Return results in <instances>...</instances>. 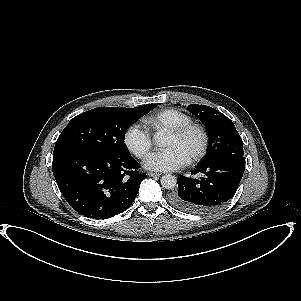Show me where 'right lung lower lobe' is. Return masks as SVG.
<instances>
[{
  "mask_svg": "<svg viewBox=\"0 0 301 301\" xmlns=\"http://www.w3.org/2000/svg\"><path fill=\"white\" fill-rule=\"evenodd\" d=\"M128 154L75 149L53 155L58 187L72 208L86 217L111 218L134 202L146 174Z\"/></svg>",
  "mask_w": 301,
  "mask_h": 301,
  "instance_id": "right-lung-lower-lobe-1",
  "label": "right lung lower lobe"
}]
</instances>
